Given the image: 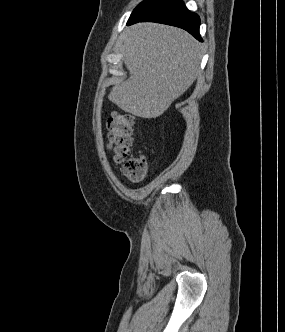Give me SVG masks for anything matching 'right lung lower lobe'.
<instances>
[{"instance_id":"obj_1","label":"right lung lower lobe","mask_w":285,"mask_h":332,"mask_svg":"<svg viewBox=\"0 0 285 332\" xmlns=\"http://www.w3.org/2000/svg\"><path fill=\"white\" fill-rule=\"evenodd\" d=\"M145 21L180 27L202 41L199 34L200 18L190 12L182 0H150L130 16L127 25Z\"/></svg>"}]
</instances>
